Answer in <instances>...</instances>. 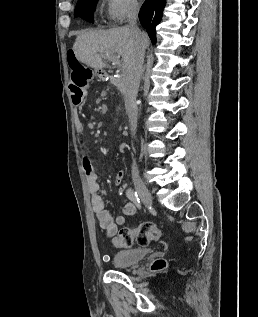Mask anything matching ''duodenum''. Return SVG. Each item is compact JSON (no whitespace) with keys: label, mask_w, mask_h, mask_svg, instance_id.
<instances>
[{"label":"duodenum","mask_w":258,"mask_h":317,"mask_svg":"<svg viewBox=\"0 0 258 317\" xmlns=\"http://www.w3.org/2000/svg\"><path fill=\"white\" fill-rule=\"evenodd\" d=\"M69 90L74 105H80L86 97L87 88L79 80L71 78L69 82Z\"/></svg>","instance_id":"duodenum-1"}]
</instances>
